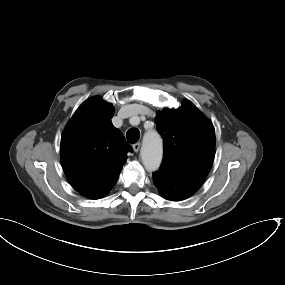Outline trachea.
<instances>
[{"instance_id": "3493384b", "label": "trachea", "mask_w": 285, "mask_h": 285, "mask_svg": "<svg viewBox=\"0 0 285 285\" xmlns=\"http://www.w3.org/2000/svg\"><path fill=\"white\" fill-rule=\"evenodd\" d=\"M126 137L128 142L136 143L140 138V131L136 128H131L127 131Z\"/></svg>"}]
</instances>
